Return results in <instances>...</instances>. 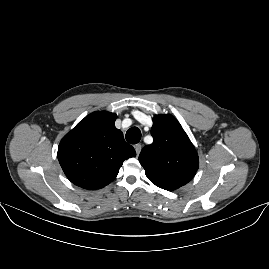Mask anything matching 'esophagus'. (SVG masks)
Listing matches in <instances>:
<instances>
[{
  "mask_svg": "<svg viewBox=\"0 0 269 269\" xmlns=\"http://www.w3.org/2000/svg\"><path fill=\"white\" fill-rule=\"evenodd\" d=\"M134 148H135V151H136V157H138L140 152H141V145L137 144V145L134 146Z\"/></svg>",
  "mask_w": 269,
  "mask_h": 269,
  "instance_id": "34e87169",
  "label": "esophagus"
}]
</instances>
